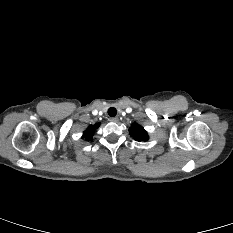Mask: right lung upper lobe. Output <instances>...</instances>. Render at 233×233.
I'll return each mask as SVG.
<instances>
[{
  "instance_id": "cb5924a9",
  "label": "right lung upper lobe",
  "mask_w": 233,
  "mask_h": 233,
  "mask_svg": "<svg viewBox=\"0 0 233 233\" xmlns=\"http://www.w3.org/2000/svg\"><path fill=\"white\" fill-rule=\"evenodd\" d=\"M97 125H90L88 129L84 132L82 138H85L87 141L92 140L94 129Z\"/></svg>"
}]
</instances>
